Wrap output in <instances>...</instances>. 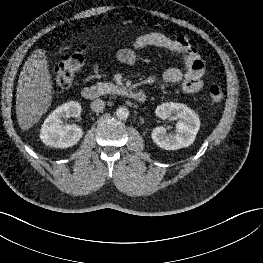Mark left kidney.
Returning <instances> with one entry per match:
<instances>
[{
  "label": "left kidney",
  "instance_id": "5707ae66",
  "mask_svg": "<svg viewBox=\"0 0 263 263\" xmlns=\"http://www.w3.org/2000/svg\"><path fill=\"white\" fill-rule=\"evenodd\" d=\"M156 116L166 119L170 116L179 118L176 124V134H167L165 127H156L152 132L155 144L166 150H177L190 146L200 128L198 115L184 104L163 103L156 108Z\"/></svg>",
  "mask_w": 263,
  "mask_h": 263
}]
</instances>
